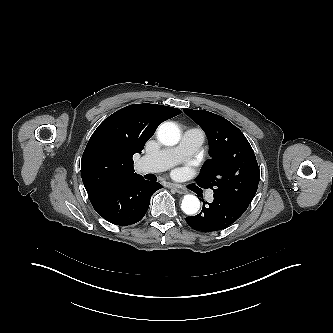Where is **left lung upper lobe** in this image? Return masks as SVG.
<instances>
[{
    "instance_id": "left-lung-upper-lobe-1",
    "label": "left lung upper lobe",
    "mask_w": 333,
    "mask_h": 333,
    "mask_svg": "<svg viewBox=\"0 0 333 333\" xmlns=\"http://www.w3.org/2000/svg\"><path fill=\"white\" fill-rule=\"evenodd\" d=\"M205 131L209 159L196 178L199 186L247 209L260 179L254 151L243 133L225 118L208 111L184 109Z\"/></svg>"
}]
</instances>
